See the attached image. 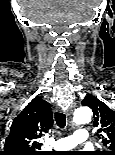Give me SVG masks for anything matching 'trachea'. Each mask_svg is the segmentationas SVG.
I'll use <instances>...</instances> for the list:
<instances>
[{"label": "trachea", "mask_w": 115, "mask_h": 155, "mask_svg": "<svg viewBox=\"0 0 115 155\" xmlns=\"http://www.w3.org/2000/svg\"><path fill=\"white\" fill-rule=\"evenodd\" d=\"M55 121L56 124L60 127V128H64L66 125V116L64 113L62 112H56L55 113Z\"/></svg>", "instance_id": "1"}]
</instances>
